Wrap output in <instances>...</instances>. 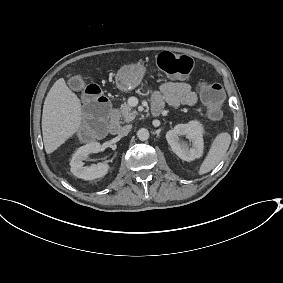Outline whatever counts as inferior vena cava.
I'll use <instances>...</instances> for the list:
<instances>
[{
  "label": "inferior vena cava",
  "instance_id": "inferior-vena-cava-1",
  "mask_svg": "<svg viewBox=\"0 0 283 283\" xmlns=\"http://www.w3.org/2000/svg\"><path fill=\"white\" fill-rule=\"evenodd\" d=\"M131 129L132 125H125L119 130L118 135L121 137L127 136Z\"/></svg>",
  "mask_w": 283,
  "mask_h": 283
}]
</instances>
